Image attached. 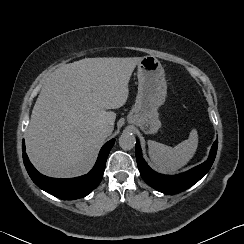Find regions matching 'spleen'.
<instances>
[{
    "label": "spleen",
    "mask_w": 244,
    "mask_h": 244,
    "mask_svg": "<svg viewBox=\"0 0 244 244\" xmlns=\"http://www.w3.org/2000/svg\"><path fill=\"white\" fill-rule=\"evenodd\" d=\"M198 147V134L192 129L189 138L175 147L148 140V153L153 166L162 173H175L194 156Z\"/></svg>",
    "instance_id": "3e777b00"
}]
</instances>
